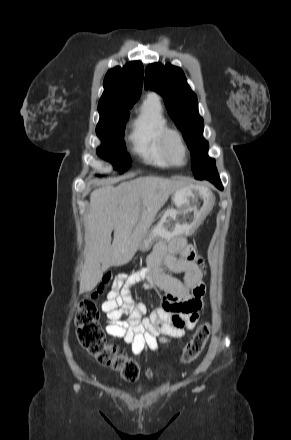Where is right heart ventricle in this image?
Masks as SVG:
<instances>
[{
    "mask_svg": "<svg viewBox=\"0 0 291 440\" xmlns=\"http://www.w3.org/2000/svg\"><path fill=\"white\" fill-rule=\"evenodd\" d=\"M167 128L160 98L155 93L148 94L130 125L128 141L131 152L145 163L160 167L169 165L162 142Z\"/></svg>",
    "mask_w": 291,
    "mask_h": 440,
    "instance_id": "obj_1",
    "label": "right heart ventricle"
}]
</instances>
